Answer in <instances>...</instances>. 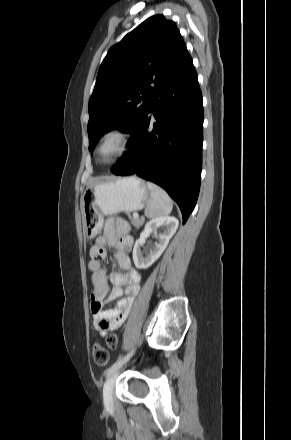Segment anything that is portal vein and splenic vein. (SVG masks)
Returning <instances> with one entry per match:
<instances>
[{"label":"portal vein and splenic vein","instance_id":"obj_1","mask_svg":"<svg viewBox=\"0 0 291 440\" xmlns=\"http://www.w3.org/2000/svg\"><path fill=\"white\" fill-rule=\"evenodd\" d=\"M133 217L138 218L139 217L138 213H133Z\"/></svg>","mask_w":291,"mask_h":440}]
</instances>
